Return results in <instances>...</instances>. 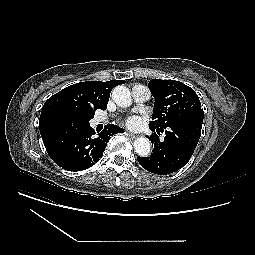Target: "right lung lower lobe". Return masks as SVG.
<instances>
[{
    "instance_id": "1",
    "label": "right lung lower lobe",
    "mask_w": 255,
    "mask_h": 255,
    "mask_svg": "<svg viewBox=\"0 0 255 255\" xmlns=\"http://www.w3.org/2000/svg\"><path fill=\"white\" fill-rule=\"evenodd\" d=\"M118 132L123 129L113 124L106 125L98 135L89 123L74 133L52 125L40 128L47 153L59 167L68 171H82L97 163L110 137Z\"/></svg>"
}]
</instances>
